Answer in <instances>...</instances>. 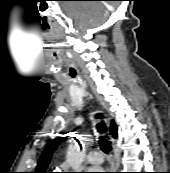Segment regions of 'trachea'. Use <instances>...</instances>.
<instances>
[{"instance_id": "obj_1", "label": "trachea", "mask_w": 170, "mask_h": 173, "mask_svg": "<svg viewBox=\"0 0 170 173\" xmlns=\"http://www.w3.org/2000/svg\"><path fill=\"white\" fill-rule=\"evenodd\" d=\"M96 118H101V115H96ZM97 131L101 134L99 137V144L101 147V150L104 152H109L111 150V144L110 141L106 139V136H103L102 134L106 132V126L103 121L98 123L96 125Z\"/></svg>"}]
</instances>
